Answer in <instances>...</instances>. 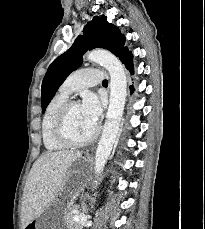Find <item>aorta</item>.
I'll use <instances>...</instances> for the list:
<instances>
[{
  "mask_svg": "<svg viewBox=\"0 0 205 229\" xmlns=\"http://www.w3.org/2000/svg\"><path fill=\"white\" fill-rule=\"evenodd\" d=\"M87 60L104 66L110 75V100L101 138L95 157V173L99 175L110 156L124 111L127 78L120 60L109 51L95 49L87 54Z\"/></svg>",
  "mask_w": 205,
  "mask_h": 229,
  "instance_id": "obj_1",
  "label": "aorta"
}]
</instances>
